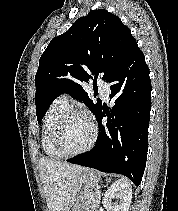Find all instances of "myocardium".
Returning a JSON list of instances; mask_svg holds the SVG:
<instances>
[{
    "label": "myocardium",
    "instance_id": "f54148a6",
    "mask_svg": "<svg viewBox=\"0 0 178 211\" xmlns=\"http://www.w3.org/2000/svg\"><path fill=\"white\" fill-rule=\"evenodd\" d=\"M75 116L82 117L89 122L91 126V138L88 144L81 150L76 151V152H66L62 149L61 140H62V136H63L65 128L67 127L68 122L70 121L71 118ZM97 135H98L97 124L89 115H87L86 113L80 110H68L63 116L61 123L57 129V133L55 137V145H56L57 151L62 157H66V158L75 157L89 151L94 146L97 139Z\"/></svg>",
    "mask_w": 178,
    "mask_h": 211
}]
</instances>
